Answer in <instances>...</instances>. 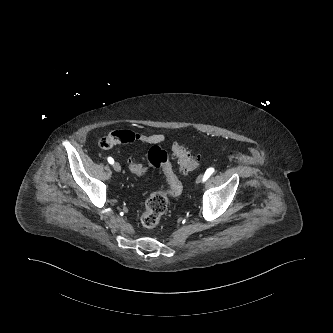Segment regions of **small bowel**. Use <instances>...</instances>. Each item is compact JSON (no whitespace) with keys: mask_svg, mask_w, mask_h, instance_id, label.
Wrapping results in <instances>:
<instances>
[{"mask_svg":"<svg viewBox=\"0 0 333 333\" xmlns=\"http://www.w3.org/2000/svg\"><path fill=\"white\" fill-rule=\"evenodd\" d=\"M116 143L142 142L156 145L165 141L166 137L162 133L141 134L128 130H117L111 133Z\"/></svg>","mask_w":333,"mask_h":333,"instance_id":"c3829d8e","label":"small bowel"}]
</instances>
